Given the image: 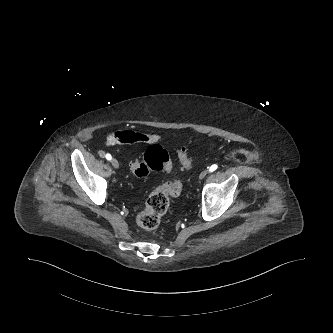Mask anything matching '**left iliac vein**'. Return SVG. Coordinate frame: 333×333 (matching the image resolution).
<instances>
[{"label": "left iliac vein", "instance_id": "4c4485c4", "mask_svg": "<svg viewBox=\"0 0 333 333\" xmlns=\"http://www.w3.org/2000/svg\"><path fill=\"white\" fill-rule=\"evenodd\" d=\"M208 171L207 170H203L200 174H199V179L202 180L206 177Z\"/></svg>", "mask_w": 333, "mask_h": 333}]
</instances>
